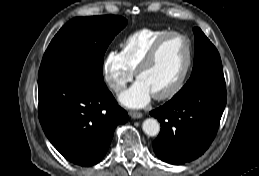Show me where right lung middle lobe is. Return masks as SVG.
Listing matches in <instances>:
<instances>
[{
	"instance_id": "1",
	"label": "right lung middle lobe",
	"mask_w": 259,
	"mask_h": 176,
	"mask_svg": "<svg viewBox=\"0 0 259 176\" xmlns=\"http://www.w3.org/2000/svg\"><path fill=\"white\" fill-rule=\"evenodd\" d=\"M126 25L125 18L115 15L73 18L49 44L39 77L62 70H75L103 80L105 51Z\"/></svg>"
}]
</instances>
